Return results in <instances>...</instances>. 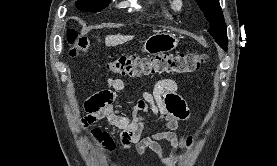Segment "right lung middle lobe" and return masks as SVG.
<instances>
[{
  "mask_svg": "<svg viewBox=\"0 0 277 166\" xmlns=\"http://www.w3.org/2000/svg\"><path fill=\"white\" fill-rule=\"evenodd\" d=\"M109 4V0H78L76 7L82 11L99 12Z\"/></svg>",
  "mask_w": 277,
  "mask_h": 166,
  "instance_id": "right-lung-middle-lobe-1",
  "label": "right lung middle lobe"
}]
</instances>
